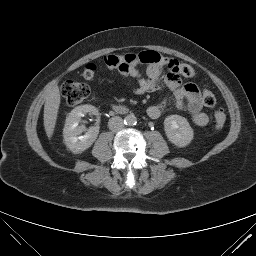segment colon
I'll use <instances>...</instances> for the list:
<instances>
[{
    "mask_svg": "<svg viewBox=\"0 0 256 256\" xmlns=\"http://www.w3.org/2000/svg\"><path fill=\"white\" fill-rule=\"evenodd\" d=\"M162 57L156 51H143L138 54H123L116 55L110 54L104 58L105 65L113 70H117L120 67L138 62V63H158ZM178 72L183 77H193L195 72L194 69L185 63H178L175 65ZM97 74V67L93 63H89L85 66L82 77L85 80L91 81L95 79ZM61 93L69 105H77L82 103L90 94V89L87 85L79 82L67 81L61 86ZM202 102L206 107L213 108L217 104L215 95L205 90L202 96ZM215 126L217 129H222L226 122V115L223 111L217 110L214 113Z\"/></svg>",
    "mask_w": 256,
    "mask_h": 256,
    "instance_id": "obj_1",
    "label": "colon"
}]
</instances>
